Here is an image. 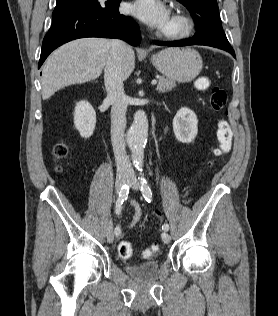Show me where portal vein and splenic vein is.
<instances>
[{
  "mask_svg": "<svg viewBox=\"0 0 278 316\" xmlns=\"http://www.w3.org/2000/svg\"><path fill=\"white\" fill-rule=\"evenodd\" d=\"M151 83H152V85H156L157 84V80H153Z\"/></svg>",
  "mask_w": 278,
  "mask_h": 316,
  "instance_id": "18ae733b",
  "label": "portal vein and splenic vein"
}]
</instances>
